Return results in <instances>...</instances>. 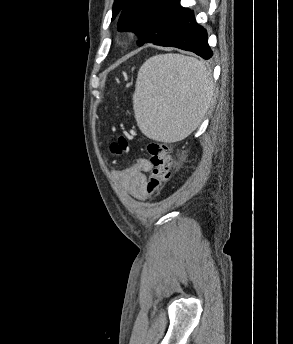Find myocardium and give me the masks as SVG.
<instances>
[{"instance_id":"myocardium-1","label":"myocardium","mask_w":293,"mask_h":344,"mask_svg":"<svg viewBox=\"0 0 293 344\" xmlns=\"http://www.w3.org/2000/svg\"><path fill=\"white\" fill-rule=\"evenodd\" d=\"M121 36H123V37H124V36H125V34H122Z\"/></svg>"}]
</instances>
